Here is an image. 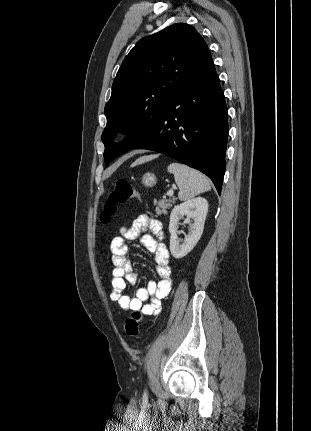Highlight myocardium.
Wrapping results in <instances>:
<instances>
[{
  "instance_id": "f54148a6",
  "label": "myocardium",
  "mask_w": 311,
  "mask_h": 431,
  "mask_svg": "<svg viewBox=\"0 0 311 431\" xmlns=\"http://www.w3.org/2000/svg\"><path fill=\"white\" fill-rule=\"evenodd\" d=\"M136 131H137V128L135 126H131L128 129V132L131 133V134L135 133Z\"/></svg>"
}]
</instances>
